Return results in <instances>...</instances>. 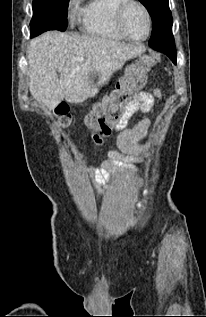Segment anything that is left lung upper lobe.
I'll return each instance as SVG.
<instances>
[{"label":"left lung upper lobe","mask_w":206,"mask_h":317,"mask_svg":"<svg viewBox=\"0 0 206 317\" xmlns=\"http://www.w3.org/2000/svg\"><path fill=\"white\" fill-rule=\"evenodd\" d=\"M148 10L153 21L150 44H174L172 14L168 0H139ZM175 45V44H174Z\"/></svg>","instance_id":"obj_1"}]
</instances>
